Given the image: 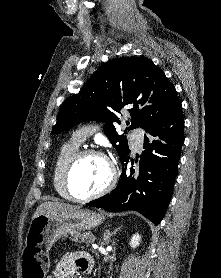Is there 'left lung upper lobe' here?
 <instances>
[{
	"label": "left lung upper lobe",
	"instance_id": "left-lung-upper-lobe-1",
	"mask_svg": "<svg viewBox=\"0 0 221 278\" xmlns=\"http://www.w3.org/2000/svg\"><path fill=\"white\" fill-rule=\"evenodd\" d=\"M177 100L174 85L150 59L118 58L103 64L78 94L63 103L51 133L58 134L82 121H103L104 133L121 159L130 149L126 136L118 135L112 124L120 123L112 110L119 113L128 106L132 118L126 122L127 129H145L166 114Z\"/></svg>",
	"mask_w": 221,
	"mask_h": 278
}]
</instances>
